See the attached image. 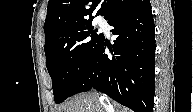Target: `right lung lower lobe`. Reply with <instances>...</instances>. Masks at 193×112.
<instances>
[{
  "instance_id": "obj_1",
  "label": "right lung lower lobe",
  "mask_w": 193,
  "mask_h": 112,
  "mask_svg": "<svg viewBox=\"0 0 193 112\" xmlns=\"http://www.w3.org/2000/svg\"><path fill=\"white\" fill-rule=\"evenodd\" d=\"M108 24L117 35L112 48L103 39L70 96L94 88L135 112H153L155 28L149 0H133Z\"/></svg>"
}]
</instances>
